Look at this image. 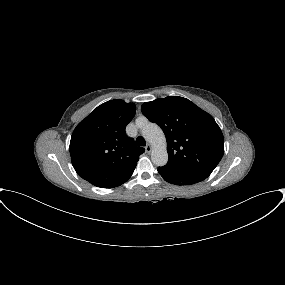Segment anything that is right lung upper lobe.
Returning a JSON list of instances; mask_svg holds the SVG:
<instances>
[{
	"mask_svg": "<svg viewBox=\"0 0 285 285\" xmlns=\"http://www.w3.org/2000/svg\"><path fill=\"white\" fill-rule=\"evenodd\" d=\"M135 112L133 103L111 100L99 105L77 125L69 150L80 177L101 188L117 187L131 177L144 153V148L136 147L125 133Z\"/></svg>",
	"mask_w": 285,
	"mask_h": 285,
	"instance_id": "obj_1",
	"label": "right lung upper lobe"
}]
</instances>
